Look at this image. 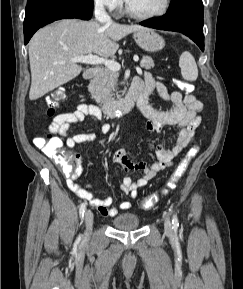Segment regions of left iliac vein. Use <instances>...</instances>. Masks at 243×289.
I'll use <instances>...</instances> for the list:
<instances>
[{
    "label": "left iliac vein",
    "instance_id": "obj_1",
    "mask_svg": "<svg viewBox=\"0 0 243 289\" xmlns=\"http://www.w3.org/2000/svg\"><path fill=\"white\" fill-rule=\"evenodd\" d=\"M164 229H165V233L166 234H172V225H171V221L168 217H166L165 222H164Z\"/></svg>",
    "mask_w": 243,
    "mask_h": 289
}]
</instances>
